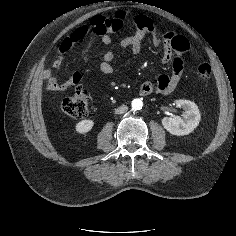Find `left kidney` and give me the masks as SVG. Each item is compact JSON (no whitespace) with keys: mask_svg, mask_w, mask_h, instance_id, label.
<instances>
[{"mask_svg":"<svg viewBox=\"0 0 236 236\" xmlns=\"http://www.w3.org/2000/svg\"><path fill=\"white\" fill-rule=\"evenodd\" d=\"M176 104L185 110V115L164 117L162 119L163 127L171 134L183 136L191 133L201 120V114L198 106L189 100H177Z\"/></svg>","mask_w":236,"mask_h":236,"instance_id":"left-kidney-1","label":"left kidney"}]
</instances>
